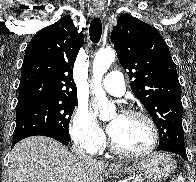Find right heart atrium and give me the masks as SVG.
<instances>
[{
    "label": "right heart atrium",
    "instance_id": "1",
    "mask_svg": "<svg viewBox=\"0 0 196 182\" xmlns=\"http://www.w3.org/2000/svg\"><path fill=\"white\" fill-rule=\"evenodd\" d=\"M70 134L73 141L88 152H98L105 144L103 130L85 105H79L72 117Z\"/></svg>",
    "mask_w": 196,
    "mask_h": 182
}]
</instances>
